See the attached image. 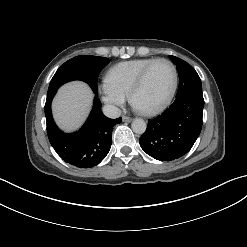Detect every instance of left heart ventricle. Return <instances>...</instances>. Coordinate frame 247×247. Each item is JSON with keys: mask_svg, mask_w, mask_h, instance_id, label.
<instances>
[{"mask_svg": "<svg viewBox=\"0 0 247 247\" xmlns=\"http://www.w3.org/2000/svg\"><path fill=\"white\" fill-rule=\"evenodd\" d=\"M173 83V70L166 62L157 63L137 91L135 106L148 110L160 105L168 96Z\"/></svg>", "mask_w": 247, "mask_h": 247, "instance_id": "1", "label": "left heart ventricle"}]
</instances>
